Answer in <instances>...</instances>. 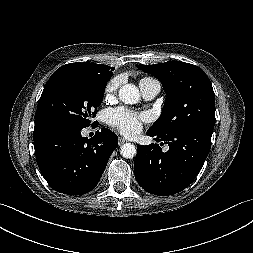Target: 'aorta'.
<instances>
[{"label": "aorta", "instance_id": "aorta-1", "mask_svg": "<svg viewBox=\"0 0 253 253\" xmlns=\"http://www.w3.org/2000/svg\"><path fill=\"white\" fill-rule=\"evenodd\" d=\"M119 99L125 104H135L140 99L139 89L134 84L123 85L119 89ZM136 147L131 143H125L120 148V154L127 159L136 155Z\"/></svg>", "mask_w": 253, "mask_h": 253}]
</instances>
